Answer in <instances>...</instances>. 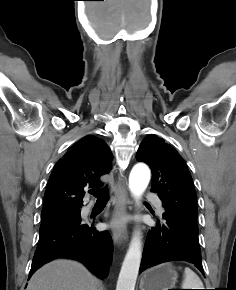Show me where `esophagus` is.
<instances>
[{
    "instance_id": "1",
    "label": "esophagus",
    "mask_w": 236,
    "mask_h": 290,
    "mask_svg": "<svg viewBox=\"0 0 236 290\" xmlns=\"http://www.w3.org/2000/svg\"><path fill=\"white\" fill-rule=\"evenodd\" d=\"M116 202L112 217V237L116 244L125 243L128 240L126 226L123 222L127 215V207L130 204V198L126 182L122 177L116 181Z\"/></svg>"
}]
</instances>
